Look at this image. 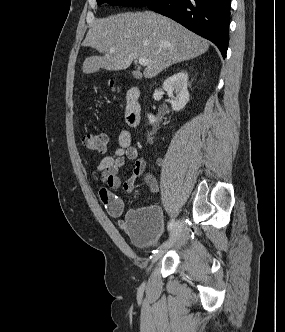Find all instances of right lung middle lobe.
Segmentation results:
<instances>
[{"label": "right lung middle lobe", "mask_w": 285, "mask_h": 332, "mask_svg": "<svg viewBox=\"0 0 285 332\" xmlns=\"http://www.w3.org/2000/svg\"><path fill=\"white\" fill-rule=\"evenodd\" d=\"M153 0H97L98 4L110 3L111 5L118 6H132V7H142L146 6Z\"/></svg>", "instance_id": "right-lung-middle-lobe-1"}]
</instances>
